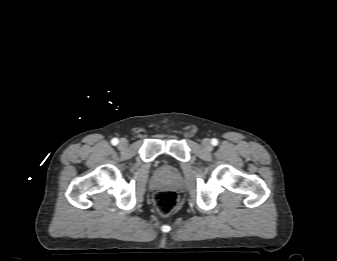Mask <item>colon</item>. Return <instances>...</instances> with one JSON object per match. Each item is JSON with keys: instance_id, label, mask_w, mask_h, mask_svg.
I'll use <instances>...</instances> for the list:
<instances>
[{"instance_id": "obj_1", "label": "colon", "mask_w": 337, "mask_h": 261, "mask_svg": "<svg viewBox=\"0 0 337 261\" xmlns=\"http://www.w3.org/2000/svg\"><path fill=\"white\" fill-rule=\"evenodd\" d=\"M179 196L173 190H160L155 193L153 203L159 214L167 216L178 206Z\"/></svg>"}]
</instances>
